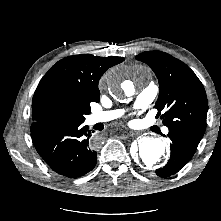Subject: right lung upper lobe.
<instances>
[{
	"mask_svg": "<svg viewBox=\"0 0 221 221\" xmlns=\"http://www.w3.org/2000/svg\"><path fill=\"white\" fill-rule=\"evenodd\" d=\"M122 61V57H99L91 54L73 55L58 61L41 79L34 93L33 123L44 122L39 116L38 105L50 91H61L91 102H99V79L107 69Z\"/></svg>",
	"mask_w": 221,
	"mask_h": 221,
	"instance_id": "obj_1",
	"label": "right lung upper lobe"
}]
</instances>
